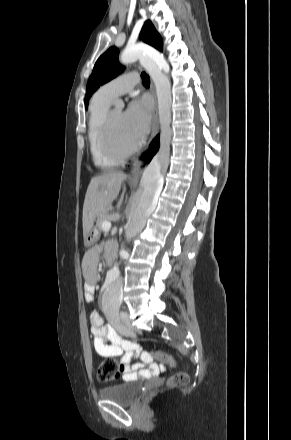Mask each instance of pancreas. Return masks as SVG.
Returning <instances> with one entry per match:
<instances>
[{
  "instance_id": "1",
  "label": "pancreas",
  "mask_w": 291,
  "mask_h": 440,
  "mask_svg": "<svg viewBox=\"0 0 291 440\" xmlns=\"http://www.w3.org/2000/svg\"><path fill=\"white\" fill-rule=\"evenodd\" d=\"M107 211L104 210L97 215L96 227L99 232L102 231V223L107 219Z\"/></svg>"
}]
</instances>
